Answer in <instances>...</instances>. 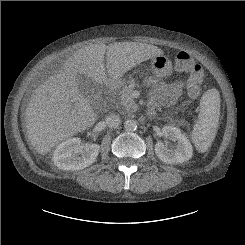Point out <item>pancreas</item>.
<instances>
[{
    "mask_svg": "<svg viewBox=\"0 0 245 245\" xmlns=\"http://www.w3.org/2000/svg\"><path fill=\"white\" fill-rule=\"evenodd\" d=\"M134 87L135 82L134 80H131L123 87L122 91L120 92L121 96L119 99V104L122 106L123 113H128L137 109V105L132 97Z\"/></svg>",
    "mask_w": 245,
    "mask_h": 245,
    "instance_id": "1",
    "label": "pancreas"
}]
</instances>
